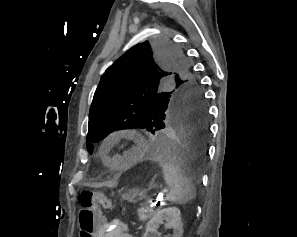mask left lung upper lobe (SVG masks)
<instances>
[{
    "mask_svg": "<svg viewBox=\"0 0 297 237\" xmlns=\"http://www.w3.org/2000/svg\"><path fill=\"white\" fill-rule=\"evenodd\" d=\"M178 100L206 106L183 52L163 39L135 45L106 70L95 91L88 151L116 130L142 128L153 134Z\"/></svg>",
    "mask_w": 297,
    "mask_h": 237,
    "instance_id": "1",
    "label": "left lung upper lobe"
}]
</instances>
